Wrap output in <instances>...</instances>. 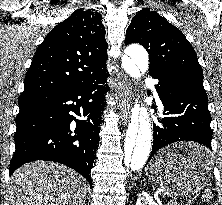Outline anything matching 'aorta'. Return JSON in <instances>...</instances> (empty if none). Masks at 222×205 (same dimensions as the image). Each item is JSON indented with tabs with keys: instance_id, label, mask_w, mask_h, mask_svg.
Instances as JSON below:
<instances>
[{
	"instance_id": "obj_1",
	"label": "aorta",
	"mask_w": 222,
	"mask_h": 205,
	"mask_svg": "<svg viewBox=\"0 0 222 205\" xmlns=\"http://www.w3.org/2000/svg\"><path fill=\"white\" fill-rule=\"evenodd\" d=\"M122 65L131 76L145 73L149 66L146 50L140 45L128 46L122 58ZM132 112V120L124 140L123 166L130 171H138L145 165L150 154L152 126L145 107H135Z\"/></svg>"
}]
</instances>
